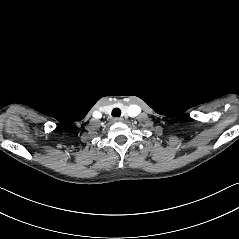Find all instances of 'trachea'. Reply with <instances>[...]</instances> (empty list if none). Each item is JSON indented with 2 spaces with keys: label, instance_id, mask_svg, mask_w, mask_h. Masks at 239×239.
I'll return each instance as SVG.
<instances>
[{
  "label": "trachea",
  "instance_id": "3493384b",
  "mask_svg": "<svg viewBox=\"0 0 239 239\" xmlns=\"http://www.w3.org/2000/svg\"><path fill=\"white\" fill-rule=\"evenodd\" d=\"M120 115H121V110L119 108H114L112 110V116L113 117H120Z\"/></svg>",
  "mask_w": 239,
  "mask_h": 239
}]
</instances>
